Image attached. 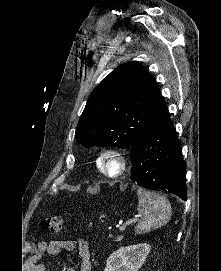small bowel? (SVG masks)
Segmentation results:
<instances>
[{
	"instance_id": "1",
	"label": "small bowel",
	"mask_w": 221,
	"mask_h": 271,
	"mask_svg": "<svg viewBox=\"0 0 221 271\" xmlns=\"http://www.w3.org/2000/svg\"><path fill=\"white\" fill-rule=\"evenodd\" d=\"M73 251L77 250L79 257V271H91V255L89 250V244L86 240H66L56 239L49 242H40L37 245V250L32 257V263H36L43 255L56 256L61 251ZM35 271H45L44 265H37ZM65 271H74L72 267L65 268Z\"/></svg>"
}]
</instances>
